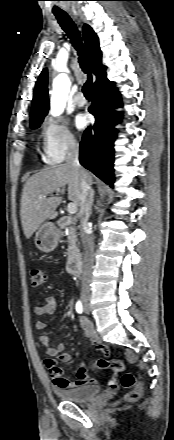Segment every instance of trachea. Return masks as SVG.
<instances>
[{"label":"trachea","mask_w":174,"mask_h":440,"mask_svg":"<svg viewBox=\"0 0 174 440\" xmlns=\"http://www.w3.org/2000/svg\"><path fill=\"white\" fill-rule=\"evenodd\" d=\"M56 18L59 24L61 25V27L63 28V30L66 32L69 39L71 40L72 45L77 50L80 67L82 68L83 72L87 74L88 79L82 89L84 96L86 98H92L93 91H92V77L90 71V64L88 62L86 51L82 44L80 32L78 31L75 23L68 15H57Z\"/></svg>","instance_id":"trachea-1"}]
</instances>
